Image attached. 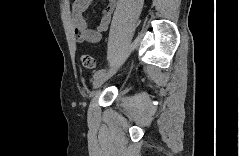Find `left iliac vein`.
I'll return each mask as SVG.
<instances>
[{
	"label": "left iliac vein",
	"instance_id": "1",
	"mask_svg": "<svg viewBox=\"0 0 239 156\" xmlns=\"http://www.w3.org/2000/svg\"><path fill=\"white\" fill-rule=\"evenodd\" d=\"M118 70V67H115L107 72H104L103 74L99 75L98 77L95 78L93 82V91L91 92L92 95L95 93V89L100 87L105 81H107L110 77H112L116 71Z\"/></svg>",
	"mask_w": 239,
	"mask_h": 156
}]
</instances>
